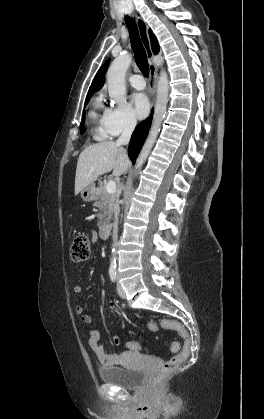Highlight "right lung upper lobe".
I'll use <instances>...</instances> for the list:
<instances>
[{
    "mask_svg": "<svg viewBox=\"0 0 264 419\" xmlns=\"http://www.w3.org/2000/svg\"><path fill=\"white\" fill-rule=\"evenodd\" d=\"M149 33V37H150V41H151V47H152V51L153 53L156 55L159 53L160 47L157 41V38L155 37V35L153 34V32L151 31V29H149L148 31ZM110 59H108L104 65L99 69V71L97 72L96 76L94 77V80L89 88L88 94L86 99L90 98L91 95L96 92L97 90H99L105 81V73L107 71L108 65H109Z\"/></svg>",
    "mask_w": 264,
    "mask_h": 419,
    "instance_id": "cb5924a9",
    "label": "right lung upper lobe"
}]
</instances>
